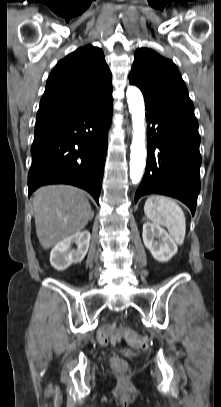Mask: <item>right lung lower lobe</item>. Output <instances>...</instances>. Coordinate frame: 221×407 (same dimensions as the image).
I'll return each mask as SVG.
<instances>
[{
	"instance_id": "98d812e1",
	"label": "right lung lower lobe",
	"mask_w": 221,
	"mask_h": 407,
	"mask_svg": "<svg viewBox=\"0 0 221 407\" xmlns=\"http://www.w3.org/2000/svg\"><path fill=\"white\" fill-rule=\"evenodd\" d=\"M112 97L85 110L35 124L28 194L47 184H71L96 202L102 185Z\"/></svg>"
}]
</instances>
